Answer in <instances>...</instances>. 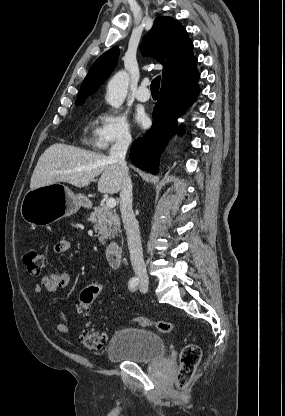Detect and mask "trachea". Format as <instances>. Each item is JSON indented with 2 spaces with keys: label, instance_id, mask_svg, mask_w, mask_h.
Wrapping results in <instances>:
<instances>
[{
  "label": "trachea",
  "instance_id": "3493384b",
  "mask_svg": "<svg viewBox=\"0 0 285 416\" xmlns=\"http://www.w3.org/2000/svg\"><path fill=\"white\" fill-rule=\"evenodd\" d=\"M160 79H161V77L158 76V77L154 78V80H152V83L150 85L151 92H159Z\"/></svg>",
  "mask_w": 285,
  "mask_h": 416
}]
</instances>
